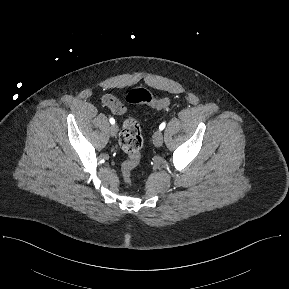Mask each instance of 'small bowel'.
Instances as JSON below:
<instances>
[{"label":"small bowel","mask_w":289,"mask_h":289,"mask_svg":"<svg viewBox=\"0 0 289 289\" xmlns=\"http://www.w3.org/2000/svg\"><path fill=\"white\" fill-rule=\"evenodd\" d=\"M102 104L109 108L115 115H122L128 111V107L111 94H105L101 99Z\"/></svg>","instance_id":"obj_1"}]
</instances>
